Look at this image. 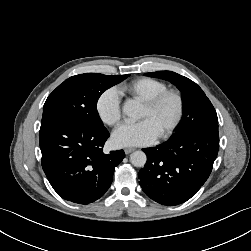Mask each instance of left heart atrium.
I'll use <instances>...</instances> for the list:
<instances>
[{
	"instance_id": "obj_1",
	"label": "left heart atrium",
	"mask_w": 251,
	"mask_h": 251,
	"mask_svg": "<svg viewBox=\"0 0 251 251\" xmlns=\"http://www.w3.org/2000/svg\"><path fill=\"white\" fill-rule=\"evenodd\" d=\"M158 136L152 121L143 119L133 124H122L113 133L112 140L119 147H135L151 144Z\"/></svg>"
}]
</instances>
